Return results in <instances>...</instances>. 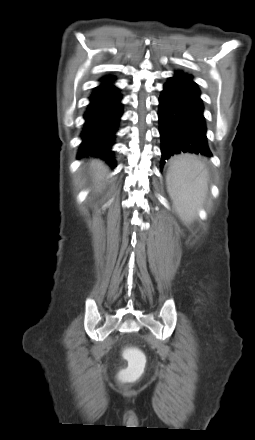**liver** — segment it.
Masks as SVG:
<instances>
[{
  "label": "liver",
  "instance_id": "1",
  "mask_svg": "<svg viewBox=\"0 0 255 440\" xmlns=\"http://www.w3.org/2000/svg\"><path fill=\"white\" fill-rule=\"evenodd\" d=\"M90 168L93 173L96 188H100L102 181L107 175L108 167L100 160L93 159L90 161Z\"/></svg>",
  "mask_w": 255,
  "mask_h": 440
}]
</instances>
